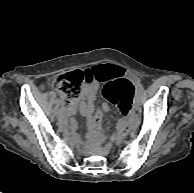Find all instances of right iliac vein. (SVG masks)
I'll return each mask as SVG.
<instances>
[{
    "mask_svg": "<svg viewBox=\"0 0 194 193\" xmlns=\"http://www.w3.org/2000/svg\"><path fill=\"white\" fill-rule=\"evenodd\" d=\"M57 117H58V119H59V120H61V118H62L59 114H58V116H57Z\"/></svg>",
    "mask_w": 194,
    "mask_h": 193,
    "instance_id": "obj_1",
    "label": "right iliac vein"
}]
</instances>
